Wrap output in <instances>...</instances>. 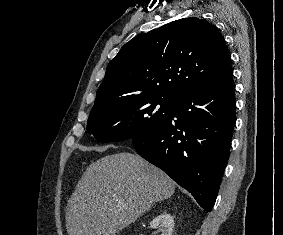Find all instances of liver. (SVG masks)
I'll use <instances>...</instances> for the list:
<instances>
[{
  "label": "liver",
  "instance_id": "6515ba94",
  "mask_svg": "<svg viewBox=\"0 0 283 235\" xmlns=\"http://www.w3.org/2000/svg\"><path fill=\"white\" fill-rule=\"evenodd\" d=\"M174 191V181L138 155L102 157L87 167L68 202V235H116Z\"/></svg>",
  "mask_w": 283,
  "mask_h": 235
}]
</instances>
